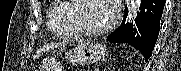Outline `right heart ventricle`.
Segmentation results:
<instances>
[{
  "label": "right heart ventricle",
  "instance_id": "1",
  "mask_svg": "<svg viewBox=\"0 0 181 71\" xmlns=\"http://www.w3.org/2000/svg\"><path fill=\"white\" fill-rule=\"evenodd\" d=\"M48 27L60 37L76 38L80 35L72 21L71 1H55L48 14Z\"/></svg>",
  "mask_w": 181,
  "mask_h": 71
}]
</instances>
